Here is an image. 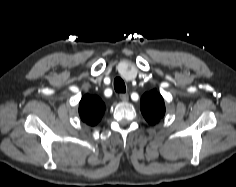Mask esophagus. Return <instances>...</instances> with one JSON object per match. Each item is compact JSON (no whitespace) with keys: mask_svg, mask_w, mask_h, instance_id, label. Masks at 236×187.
<instances>
[{"mask_svg":"<svg viewBox=\"0 0 236 187\" xmlns=\"http://www.w3.org/2000/svg\"><path fill=\"white\" fill-rule=\"evenodd\" d=\"M119 97L123 102H127L129 100L128 94L122 93V94L119 95Z\"/></svg>","mask_w":236,"mask_h":187,"instance_id":"obj_1","label":"esophagus"}]
</instances>
